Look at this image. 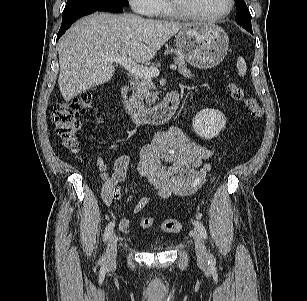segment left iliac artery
Instances as JSON below:
<instances>
[{
  "label": "left iliac artery",
  "mask_w": 307,
  "mask_h": 301,
  "mask_svg": "<svg viewBox=\"0 0 307 301\" xmlns=\"http://www.w3.org/2000/svg\"><path fill=\"white\" fill-rule=\"evenodd\" d=\"M193 225L196 227V229L198 230V232L201 234V236L204 238V239H207V232H206V229L205 227L203 226V224L197 220H194L193 221ZM215 259L213 257V255L210 253L209 255V261L208 263H211V264H215Z\"/></svg>",
  "instance_id": "obj_1"
}]
</instances>
